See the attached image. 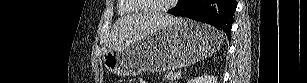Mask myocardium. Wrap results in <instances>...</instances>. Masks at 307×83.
I'll return each instance as SVG.
<instances>
[{"instance_id":"f54148a6","label":"myocardium","mask_w":307,"mask_h":83,"mask_svg":"<svg viewBox=\"0 0 307 83\" xmlns=\"http://www.w3.org/2000/svg\"><path fill=\"white\" fill-rule=\"evenodd\" d=\"M141 12H146V13H150V14H164L166 12H168L171 7L173 6V4L175 2H177V0H170L166 5L157 8V9H147L146 6L142 5V0H130Z\"/></svg>"}]
</instances>
